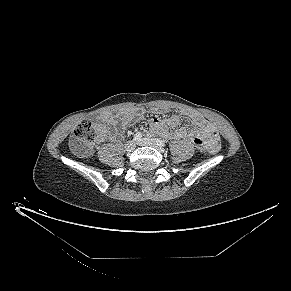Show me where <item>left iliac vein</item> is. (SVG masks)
Listing matches in <instances>:
<instances>
[{
    "label": "left iliac vein",
    "instance_id": "obj_1",
    "mask_svg": "<svg viewBox=\"0 0 291 291\" xmlns=\"http://www.w3.org/2000/svg\"><path fill=\"white\" fill-rule=\"evenodd\" d=\"M138 145L140 146H151L159 150L160 152H164V148L158 145L154 139L146 137L138 141Z\"/></svg>",
    "mask_w": 291,
    "mask_h": 291
}]
</instances>
